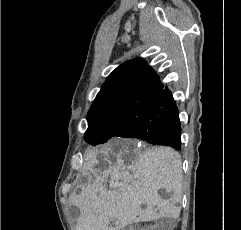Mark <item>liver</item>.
Instances as JSON below:
<instances>
[{
	"instance_id": "liver-1",
	"label": "liver",
	"mask_w": 241,
	"mask_h": 230,
	"mask_svg": "<svg viewBox=\"0 0 241 230\" xmlns=\"http://www.w3.org/2000/svg\"><path fill=\"white\" fill-rule=\"evenodd\" d=\"M100 153L101 160H97L94 153L86 157V168L95 181L86 173L88 185L83 186L78 195L73 193L70 197L71 205L81 212L76 230H109L113 219L122 228L160 217L178 218L180 208L176 203L181 200L182 161L175 150L153 147L141 152L122 145L119 150L105 146ZM130 154L135 158L127 162L124 155ZM94 164L98 167L92 168ZM109 178L116 184L111 191L105 186ZM160 188L175 194L170 200H163L158 195ZM158 204L161 205L159 212L154 209Z\"/></svg>"
}]
</instances>
